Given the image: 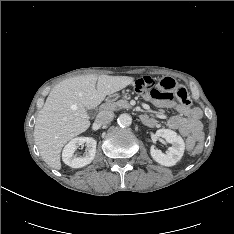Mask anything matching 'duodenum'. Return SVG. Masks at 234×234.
<instances>
[{"label":"duodenum","mask_w":234,"mask_h":234,"mask_svg":"<svg viewBox=\"0 0 234 234\" xmlns=\"http://www.w3.org/2000/svg\"><path fill=\"white\" fill-rule=\"evenodd\" d=\"M114 99H115V95L110 96V97L106 100V102L103 104L102 109H103V110H108V109L111 107V105H112ZM143 119H144V118H143Z\"/></svg>","instance_id":"obj_1"}]
</instances>
